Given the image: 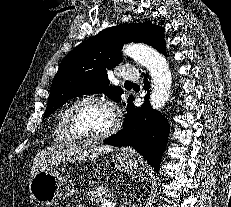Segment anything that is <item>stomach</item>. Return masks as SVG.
I'll use <instances>...</instances> for the list:
<instances>
[{"mask_svg": "<svg viewBox=\"0 0 231 207\" xmlns=\"http://www.w3.org/2000/svg\"><path fill=\"white\" fill-rule=\"evenodd\" d=\"M115 167L129 175L137 174L141 166L137 157L121 152L113 160ZM29 191L33 199L45 207H50L58 200L72 196L75 185L68 176L58 168H49L38 171L29 182Z\"/></svg>", "mask_w": 231, "mask_h": 207, "instance_id": "obj_1", "label": "stomach"}]
</instances>
